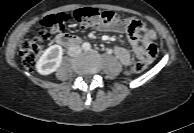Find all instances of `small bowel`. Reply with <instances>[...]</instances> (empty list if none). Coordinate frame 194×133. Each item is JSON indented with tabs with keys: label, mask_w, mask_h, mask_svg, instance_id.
I'll return each instance as SVG.
<instances>
[{
	"label": "small bowel",
	"mask_w": 194,
	"mask_h": 133,
	"mask_svg": "<svg viewBox=\"0 0 194 133\" xmlns=\"http://www.w3.org/2000/svg\"><path fill=\"white\" fill-rule=\"evenodd\" d=\"M99 29L126 34L138 58L143 54L156 55L157 34L150 25L139 18L128 17L111 26H99ZM113 53L124 66L132 65V57L125 48L116 46Z\"/></svg>",
	"instance_id": "c3829d8e"
}]
</instances>
